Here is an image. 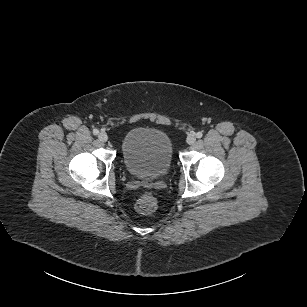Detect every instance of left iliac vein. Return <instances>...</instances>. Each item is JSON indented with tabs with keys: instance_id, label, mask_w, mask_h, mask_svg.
<instances>
[{
	"instance_id": "obj_1",
	"label": "left iliac vein",
	"mask_w": 307,
	"mask_h": 307,
	"mask_svg": "<svg viewBox=\"0 0 307 307\" xmlns=\"http://www.w3.org/2000/svg\"><path fill=\"white\" fill-rule=\"evenodd\" d=\"M186 141H187V143L190 144V145L194 144L195 141H196L195 135H193V134L189 135V136L187 137V140H186Z\"/></svg>"
}]
</instances>
